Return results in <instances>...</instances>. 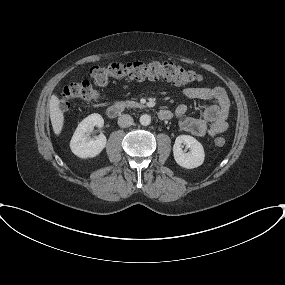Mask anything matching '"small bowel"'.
Instances as JSON below:
<instances>
[{
	"instance_id": "c3829d8e",
	"label": "small bowel",
	"mask_w": 285,
	"mask_h": 285,
	"mask_svg": "<svg viewBox=\"0 0 285 285\" xmlns=\"http://www.w3.org/2000/svg\"><path fill=\"white\" fill-rule=\"evenodd\" d=\"M127 88L128 86L125 87V89ZM182 92L190 99L214 102L205 109L201 117L188 115V106L180 104L175 110V116L179 126L184 131L199 137H213L227 130L230 101L222 87L210 85L188 86L184 87Z\"/></svg>"
}]
</instances>
